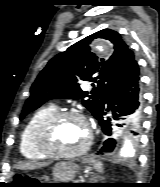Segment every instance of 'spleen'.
Wrapping results in <instances>:
<instances>
[{
  "label": "spleen",
  "instance_id": "obj_1",
  "mask_svg": "<svg viewBox=\"0 0 160 187\" xmlns=\"http://www.w3.org/2000/svg\"><path fill=\"white\" fill-rule=\"evenodd\" d=\"M94 168H95L98 172H102V170H103L102 164H101L100 162H95Z\"/></svg>",
  "mask_w": 160,
  "mask_h": 187
}]
</instances>
